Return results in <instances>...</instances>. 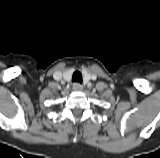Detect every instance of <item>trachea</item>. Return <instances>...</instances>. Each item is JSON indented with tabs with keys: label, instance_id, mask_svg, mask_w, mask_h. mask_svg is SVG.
<instances>
[{
	"label": "trachea",
	"instance_id": "1",
	"mask_svg": "<svg viewBox=\"0 0 160 158\" xmlns=\"http://www.w3.org/2000/svg\"><path fill=\"white\" fill-rule=\"evenodd\" d=\"M72 81L82 83V74L80 71H75L72 75Z\"/></svg>",
	"mask_w": 160,
	"mask_h": 158
}]
</instances>
